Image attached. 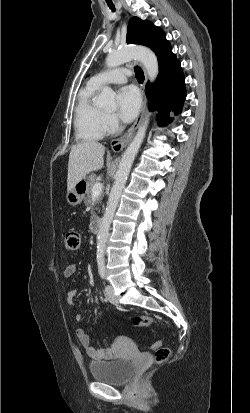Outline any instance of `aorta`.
<instances>
[{
	"mask_svg": "<svg viewBox=\"0 0 250 413\" xmlns=\"http://www.w3.org/2000/svg\"><path fill=\"white\" fill-rule=\"evenodd\" d=\"M132 59L139 60L144 65L151 82L156 79L159 72L157 57L150 49L146 47H127L117 51H111L106 58V65L109 68H114ZM98 104L103 108H113L115 106V92L110 87H104L98 99ZM149 119L150 114L146 113L134 139L121 158L115 177V182L109 194L107 207L102 218L97 237L98 265H102L104 263L105 246L109 234L110 225L116 211L121 193L125 186V182L128 178L131 166L144 140L149 124Z\"/></svg>",
	"mask_w": 250,
	"mask_h": 413,
	"instance_id": "1",
	"label": "aorta"
}]
</instances>
